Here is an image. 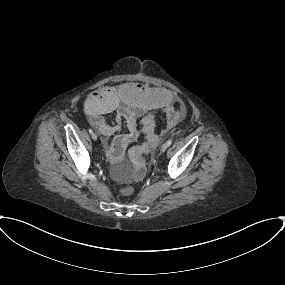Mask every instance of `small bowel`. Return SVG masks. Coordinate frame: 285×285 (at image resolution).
Returning a JSON list of instances; mask_svg holds the SVG:
<instances>
[{
  "label": "small bowel",
  "instance_id": "c3829d8e",
  "mask_svg": "<svg viewBox=\"0 0 285 285\" xmlns=\"http://www.w3.org/2000/svg\"><path fill=\"white\" fill-rule=\"evenodd\" d=\"M158 109H163L169 127H172L169 123L172 114H177V121L186 114L185 105L178 97L160 88L132 82L102 87L88 96L85 105L89 122L101 135L102 146L113 166L123 160L126 147L137 141L138 119ZM109 114L114 115L112 123L105 119ZM123 123L127 132L113 136Z\"/></svg>",
  "mask_w": 285,
  "mask_h": 285
}]
</instances>
